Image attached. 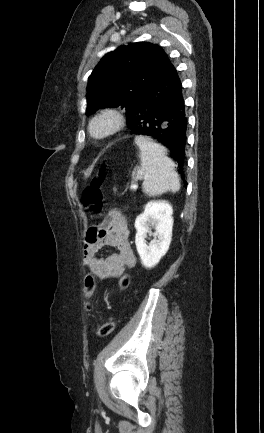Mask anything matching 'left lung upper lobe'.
<instances>
[{
    "instance_id": "obj_1",
    "label": "left lung upper lobe",
    "mask_w": 264,
    "mask_h": 433,
    "mask_svg": "<svg viewBox=\"0 0 264 433\" xmlns=\"http://www.w3.org/2000/svg\"><path fill=\"white\" fill-rule=\"evenodd\" d=\"M168 62L160 46L147 42L130 43L109 52L89 76L86 114L117 106L125 108L127 114Z\"/></svg>"
}]
</instances>
